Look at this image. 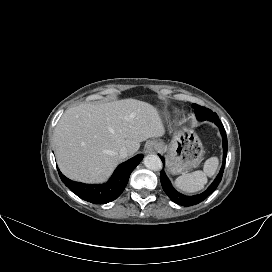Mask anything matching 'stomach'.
Listing matches in <instances>:
<instances>
[{"instance_id":"obj_1","label":"stomach","mask_w":272,"mask_h":272,"mask_svg":"<svg viewBox=\"0 0 272 272\" xmlns=\"http://www.w3.org/2000/svg\"><path fill=\"white\" fill-rule=\"evenodd\" d=\"M158 149L166 152L167 168L172 174L186 172L202 160L204 149L199 137L188 128L175 131L169 144L158 141Z\"/></svg>"}]
</instances>
